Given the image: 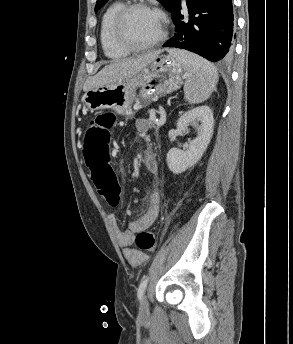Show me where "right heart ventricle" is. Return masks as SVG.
Masks as SVG:
<instances>
[{
	"label": "right heart ventricle",
	"instance_id": "obj_1",
	"mask_svg": "<svg viewBox=\"0 0 293 344\" xmlns=\"http://www.w3.org/2000/svg\"><path fill=\"white\" fill-rule=\"evenodd\" d=\"M122 0H114L105 9L101 17L99 37L105 56L111 60H120L130 55L129 50L120 46L113 36V22L118 11L124 6Z\"/></svg>",
	"mask_w": 293,
	"mask_h": 344
}]
</instances>
